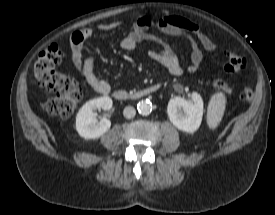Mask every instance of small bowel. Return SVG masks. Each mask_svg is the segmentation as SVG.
Here are the masks:
<instances>
[{
    "label": "small bowel",
    "mask_w": 275,
    "mask_h": 215,
    "mask_svg": "<svg viewBox=\"0 0 275 215\" xmlns=\"http://www.w3.org/2000/svg\"><path fill=\"white\" fill-rule=\"evenodd\" d=\"M164 33L174 35L186 40L191 48L189 72L197 71L203 60V53L200 47L208 52H214L216 46L213 41L190 19L176 15H165L159 19H154L149 15L137 17L131 30L121 39L120 48L126 51L135 50L142 42H156L158 49L148 51V57L158 64L166 67L170 74L179 76L183 73V67L174 54L173 50L165 43L157 41L149 30L152 27ZM121 27L119 22L99 25L96 28L86 27L74 32L70 37L71 59L76 69L82 74L85 82L95 91L107 94L110 86L104 80L97 77L94 66L96 57L94 55L83 54V44L91 38L96 31L110 32Z\"/></svg>",
    "instance_id": "c3829d8e"
}]
</instances>
